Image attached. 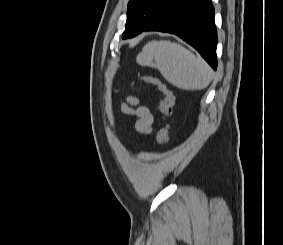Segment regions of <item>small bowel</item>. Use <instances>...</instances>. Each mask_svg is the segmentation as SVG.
Returning a JSON list of instances; mask_svg holds the SVG:
<instances>
[{
	"mask_svg": "<svg viewBox=\"0 0 283 245\" xmlns=\"http://www.w3.org/2000/svg\"><path fill=\"white\" fill-rule=\"evenodd\" d=\"M120 108L123 113L137 118L135 124L137 132L144 135H150L152 133L154 116L147 106L140 105L138 98L128 97L126 101L121 104Z\"/></svg>",
	"mask_w": 283,
	"mask_h": 245,
	"instance_id": "c3829d8e",
	"label": "small bowel"
}]
</instances>
